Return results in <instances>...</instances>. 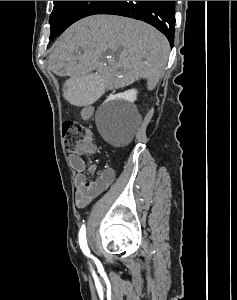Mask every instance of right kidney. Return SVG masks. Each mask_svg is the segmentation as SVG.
Segmentation results:
<instances>
[{
    "label": "right kidney",
    "instance_id": "1",
    "mask_svg": "<svg viewBox=\"0 0 237 300\" xmlns=\"http://www.w3.org/2000/svg\"><path fill=\"white\" fill-rule=\"evenodd\" d=\"M116 97L117 99H125V101L134 103V101H136L137 91H135V89H131V91H125V93H118Z\"/></svg>",
    "mask_w": 237,
    "mask_h": 300
}]
</instances>
